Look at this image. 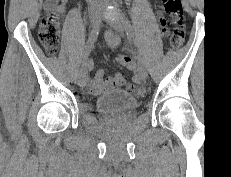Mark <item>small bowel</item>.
<instances>
[{
    "instance_id": "1",
    "label": "small bowel",
    "mask_w": 231,
    "mask_h": 177,
    "mask_svg": "<svg viewBox=\"0 0 231 177\" xmlns=\"http://www.w3.org/2000/svg\"><path fill=\"white\" fill-rule=\"evenodd\" d=\"M67 0H56L55 9L58 13L62 14L65 11ZM107 43L114 47L119 43V38L111 33L106 34ZM125 67L131 70H135V64L133 62L123 64ZM89 90L92 94H98L104 90L111 88L125 87L128 90H134L135 86L128 83L121 73H117L113 76H106L104 70H98L93 80L88 84Z\"/></svg>"
}]
</instances>
